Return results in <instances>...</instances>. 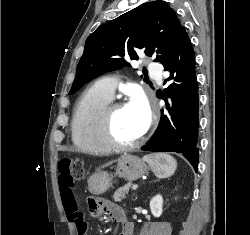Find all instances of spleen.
I'll list each match as a JSON object with an SVG mask.
<instances>
[{
  "label": "spleen",
  "instance_id": "1",
  "mask_svg": "<svg viewBox=\"0 0 250 235\" xmlns=\"http://www.w3.org/2000/svg\"><path fill=\"white\" fill-rule=\"evenodd\" d=\"M143 160L149 164L158 178L172 176L177 168L176 160L171 155L165 153L147 154L143 156Z\"/></svg>",
  "mask_w": 250,
  "mask_h": 235
}]
</instances>
